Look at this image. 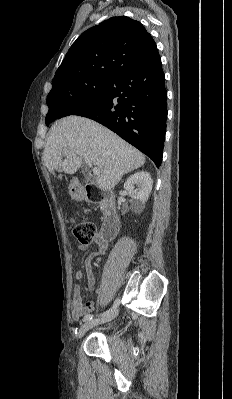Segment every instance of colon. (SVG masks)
<instances>
[{"label": "colon", "mask_w": 232, "mask_h": 399, "mask_svg": "<svg viewBox=\"0 0 232 399\" xmlns=\"http://www.w3.org/2000/svg\"><path fill=\"white\" fill-rule=\"evenodd\" d=\"M68 226H73V217H68ZM95 227L93 222H74V231H71V236H76L79 244H92Z\"/></svg>", "instance_id": "1"}]
</instances>
